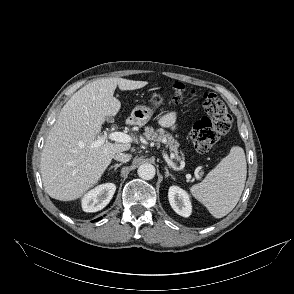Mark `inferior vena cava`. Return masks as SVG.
I'll use <instances>...</instances> for the list:
<instances>
[{
  "instance_id": "1",
  "label": "inferior vena cava",
  "mask_w": 294,
  "mask_h": 294,
  "mask_svg": "<svg viewBox=\"0 0 294 294\" xmlns=\"http://www.w3.org/2000/svg\"><path fill=\"white\" fill-rule=\"evenodd\" d=\"M131 157H132L131 154H125V153L119 152L115 154L113 158L117 161L125 163V162H128L131 159Z\"/></svg>"
}]
</instances>
